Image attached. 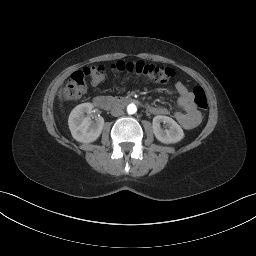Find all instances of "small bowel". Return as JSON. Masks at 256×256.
I'll list each match as a JSON object with an SVG mask.
<instances>
[{"instance_id": "obj_1", "label": "small bowel", "mask_w": 256, "mask_h": 256, "mask_svg": "<svg viewBox=\"0 0 256 256\" xmlns=\"http://www.w3.org/2000/svg\"><path fill=\"white\" fill-rule=\"evenodd\" d=\"M175 90L178 94V105L183 111L176 112L174 117L183 128L193 129L201 121V114L194 104L193 94L182 82L175 84ZM149 110L151 113L157 115H167L169 113L168 109L162 106H150Z\"/></svg>"}]
</instances>
